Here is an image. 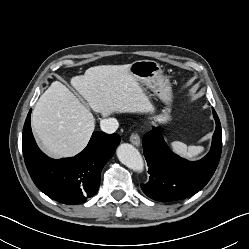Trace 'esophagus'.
<instances>
[{"mask_svg": "<svg viewBox=\"0 0 249 249\" xmlns=\"http://www.w3.org/2000/svg\"><path fill=\"white\" fill-rule=\"evenodd\" d=\"M130 141L133 145L139 147L141 145V140H140V137L137 133H133L131 136H130Z\"/></svg>", "mask_w": 249, "mask_h": 249, "instance_id": "obj_1", "label": "esophagus"}]
</instances>
